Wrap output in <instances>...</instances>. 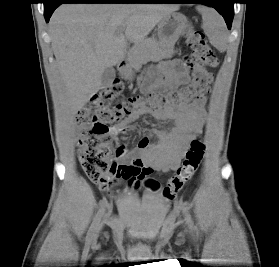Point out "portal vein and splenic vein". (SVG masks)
Listing matches in <instances>:
<instances>
[{"mask_svg":"<svg viewBox=\"0 0 279 267\" xmlns=\"http://www.w3.org/2000/svg\"><path fill=\"white\" fill-rule=\"evenodd\" d=\"M124 30H125V27H120V28H118L117 32L119 34H122Z\"/></svg>","mask_w":279,"mask_h":267,"instance_id":"obj_1","label":"portal vein and splenic vein"}]
</instances>
